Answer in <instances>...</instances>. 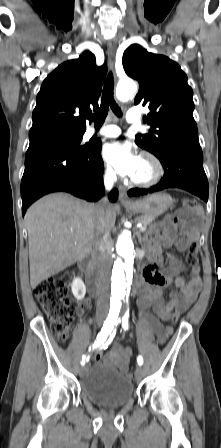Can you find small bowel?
I'll use <instances>...</instances> for the list:
<instances>
[{
  "instance_id": "1",
  "label": "small bowel",
  "mask_w": 221,
  "mask_h": 448,
  "mask_svg": "<svg viewBox=\"0 0 221 448\" xmlns=\"http://www.w3.org/2000/svg\"><path fill=\"white\" fill-rule=\"evenodd\" d=\"M198 238V229L192 224L179 227L178 224L168 217L158 227L155 234L146 242L147 251L151 263L144 269L142 280L137 285L138 306L142 318L147 322L155 333L159 343L163 344L173 332L171 326L164 327L161 321L168 322L174 316L179 317L195 301L202 282L200 268L198 266H187L181 259L168 252L169 266L161 268V255L163 250L174 246L178 251L184 252L189 243ZM189 269V279L186 281L181 273ZM173 281L176 289L169 293V301L164 300V289ZM90 306L87 298L79 301L77 314L82 316ZM151 309L157 317L150 314ZM132 351L116 344L103 355L97 352L93 359L95 362L102 360L115 366L118 370L126 372L129 367Z\"/></svg>"
}]
</instances>
